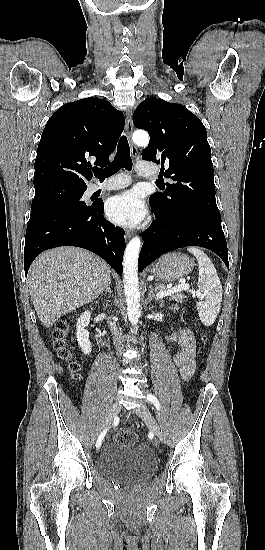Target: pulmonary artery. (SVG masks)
<instances>
[{
    "instance_id": "pulmonary-artery-1",
    "label": "pulmonary artery",
    "mask_w": 265,
    "mask_h": 550,
    "mask_svg": "<svg viewBox=\"0 0 265 550\" xmlns=\"http://www.w3.org/2000/svg\"><path fill=\"white\" fill-rule=\"evenodd\" d=\"M137 171L143 176H155L156 172L145 167V162L139 161L137 163ZM131 183L130 177L125 174H118L111 179L101 183L92 184L89 186L87 193L93 194L97 191L117 190L127 187Z\"/></svg>"
}]
</instances>
